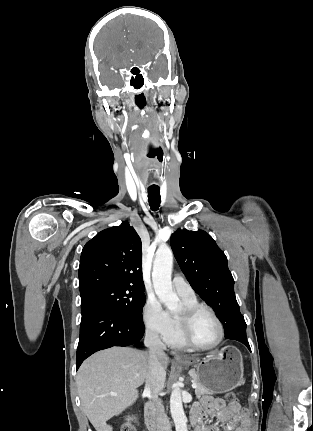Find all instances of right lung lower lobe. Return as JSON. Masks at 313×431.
Segmentation results:
<instances>
[{
	"label": "right lung lower lobe",
	"instance_id": "right-lung-lower-lobe-1",
	"mask_svg": "<svg viewBox=\"0 0 313 431\" xmlns=\"http://www.w3.org/2000/svg\"><path fill=\"white\" fill-rule=\"evenodd\" d=\"M144 323L112 308L97 306L82 313L76 369L91 354L113 346H139Z\"/></svg>",
	"mask_w": 313,
	"mask_h": 431
}]
</instances>
